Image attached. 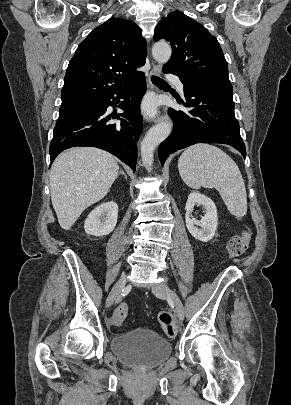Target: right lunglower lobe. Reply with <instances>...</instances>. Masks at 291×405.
Segmentation results:
<instances>
[{
  "mask_svg": "<svg viewBox=\"0 0 291 405\" xmlns=\"http://www.w3.org/2000/svg\"><path fill=\"white\" fill-rule=\"evenodd\" d=\"M145 91L146 80L140 73L127 84L99 97L95 108L57 124L49 149L51 163L67 148L91 146L110 152L135 171L137 141L143 129L139 106ZM120 98L124 99L119 105L124 112L108 115L107 107L116 106L115 100ZM115 118L121 122L110 123Z\"/></svg>",
  "mask_w": 291,
  "mask_h": 405,
  "instance_id": "obj_1",
  "label": "right lung lower lobe"
}]
</instances>
